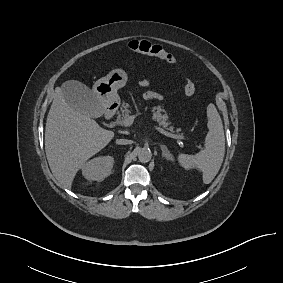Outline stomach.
<instances>
[{"instance_id":"obj_1","label":"stomach","mask_w":283,"mask_h":283,"mask_svg":"<svg viewBox=\"0 0 283 283\" xmlns=\"http://www.w3.org/2000/svg\"><path fill=\"white\" fill-rule=\"evenodd\" d=\"M127 73L121 69H114L93 85V93L101 106L107 107L118 102V89L127 83Z\"/></svg>"}]
</instances>
